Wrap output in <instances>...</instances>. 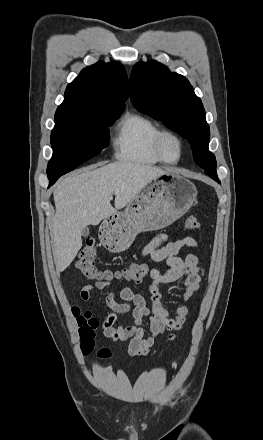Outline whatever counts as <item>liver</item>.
Returning <instances> with one entry per match:
<instances>
[{"instance_id":"obj_1","label":"liver","mask_w":263,"mask_h":440,"mask_svg":"<svg viewBox=\"0 0 263 440\" xmlns=\"http://www.w3.org/2000/svg\"><path fill=\"white\" fill-rule=\"evenodd\" d=\"M81 169L57 184L51 224L56 270L64 271L82 247V231L122 209L152 180L168 173L151 165L119 161ZM115 195L113 207L111 196Z\"/></svg>"}]
</instances>
